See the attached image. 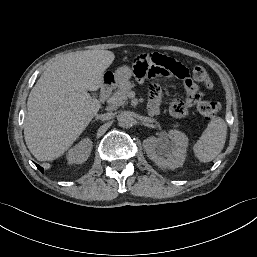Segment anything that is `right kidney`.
Instances as JSON below:
<instances>
[{
    "mask_svg": "<svg viewBox=\"0 0 257 257\" xmlns=\"http://www.w3.org/2000/svg\"><path fill=\"white\" fill-rule=\"evenodd\" d=\"M92 141L89 138L82 139L78 144L71 148L67 153V160L70 164L84 163L92 150Z\"/></svg>",
    "mask_w": 257,
    "mask_h": 257,
    "instance_id": "right-kidney-1",
    "label": "right kidney"
}]
</instances>
